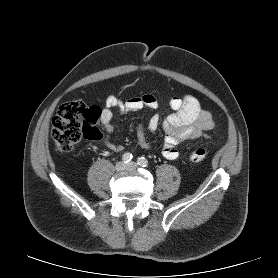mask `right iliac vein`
Returning a JSON list of instances; mask_svg holds the SVG:
<instances>
[{
    "mask_svg": "<svg viewBox=\"0 0 278 278\" xmlns=\"http://www.w3.org/2000/svg\"><path fill=\"white\" fill-rule=\"evenodd\" d=\"M115 169L117 171H124L125 169H127V165L124 162H118L115 165Z\"/></svg>",
    "mask_w": 278,
    "mask_h": 278,
    "instance_id": "right-iliac-vein-1",
    "label": "right iliac vein"
}]
</instances>
